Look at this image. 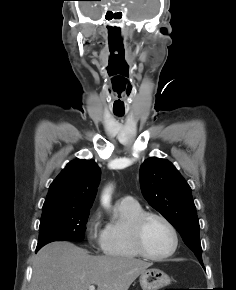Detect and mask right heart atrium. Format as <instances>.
Here are the masks:
<instances>
[{
	"label": "right heart atrium",
	"mask_w": 236,
	"mask_h": 290,
	"mask_svg": "<svg viewBox=\"0 0 236 290\" xmlns=\"http://www.w3.org/2000/svg\"><path fill=\"white\" fill-rule=\"evenodd\" d=\"M101 215L95 212L88 220L86 234L91 244H100L103 231L100 229Z\"/></svg>",
	"instance_id": "d8ad5b80"
}]
</instances>
